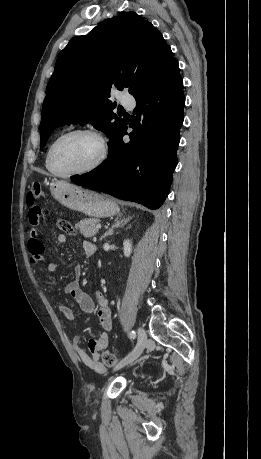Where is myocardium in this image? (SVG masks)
I'll return each instance as SVG.
<instances>
[{"mask_svg": "<svg viewBox=\"0 0 261 459\" xmlns=\"http://www.w3.org/2000/svg\"><path fill=\"white\" fill-rule=\"evenodd\" d=\"M72 135H87V136L92 137L99 146V153L96 159L91 164H89L83 169L69 172V173H57L51 168V156H52L53 150L60 140L64 139L65 137L72 136ZM107 154H108V146L104 138L98 132L92 129H88V128H75V129H71V130L61 133L51 142L48 148V151H47V156H46V168L52 175L59 177V178H70L74 176L84 175V174L91 173L95 171L97 168H99L102 165V163L105 161Z\"/></svg>", "mask_w": 261, "mask_h": 459, "instance_id": "1", "label": "myocardium"}]
</instances>
